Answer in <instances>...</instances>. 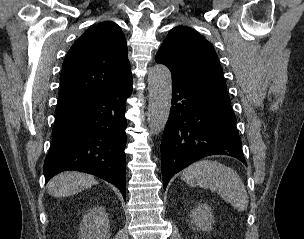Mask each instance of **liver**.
<instances>
[{"mask_svg":"<svg viewBox=\"0 0 304 239\" xmlns=\"http://www.w3.org/2000/svg\"><path fill=\"white\" fill-rule=\"evenodd\" d=\"M96 184L94 176L80 172H64L52 178L47 190L54 197H67Z\"/></svg>","mask_w":304,"mask_h":239,"instance_id":"liver-1","label":"liver"}]
</instances>
